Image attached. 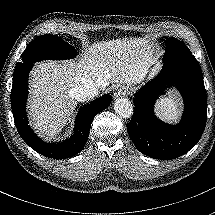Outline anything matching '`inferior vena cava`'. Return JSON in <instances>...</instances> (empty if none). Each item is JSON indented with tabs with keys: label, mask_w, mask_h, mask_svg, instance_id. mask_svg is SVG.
Wrapping results in <instances>:
<instances>
[{
	"label": "inferior vena cava",
	"mask_w": 215,
	"mask_h": 215,
	"mask_svg": "<svg viewBox=\"0 0 215 215\" xmlns=\"http://www.w3.org/2000/svg\"><path fill=\"white\" fill-rule=\"evenodd\" d=\"M98 95H99V90L94 85V83H86L84 85L79 86L74 91V98L79 102H85L87 100H91Z\"/></svg>",
	"instance_id": "1"
}]
</instances>
